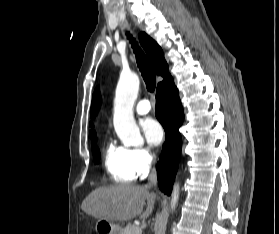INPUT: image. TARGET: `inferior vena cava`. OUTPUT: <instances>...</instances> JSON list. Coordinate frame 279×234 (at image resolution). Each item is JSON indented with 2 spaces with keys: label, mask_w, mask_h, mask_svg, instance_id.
<instances>
[{
  "label": "inferior vena cava",
  "mask_w": 279,
  "mask_h": 234,
  "mask_svg": "<svg viewBox=\"0 0 279 234\" xmlns=\"http://www.w3.org/2000/svg\"><path fill=\"white\" fill-rule=\"evenodd\" d=\"M156 183H157L156 171H155V169H152L151 173H150V175L148 177V184H147V186L151 187L153 185H156Z\"/></svg>",
  "instance_id": "1"
}]
</instances>
